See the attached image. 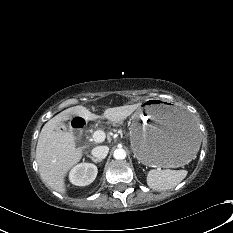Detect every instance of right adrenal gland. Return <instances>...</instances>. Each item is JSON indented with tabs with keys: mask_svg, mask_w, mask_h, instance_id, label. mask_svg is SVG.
Wrapping results in <instances>:
<instances>
[{
	"mask_svg": "<svg viewBox=\"0 0 233 233\" xmlns=\"http://www.w3.org/2000/svg\"><path fill=\"white\" fill-rule=\"evenodd\" d=\"M88 157H89L93 162H95V163H99V162L102 161V159H96V158H94V157H92V156H89V155H88Z\"/></svg>",
	"mask_w": 233,
	"mask_h": 233,
	"instance_id": "2a0ac1e0",
	"label": "right adrenal gland"
}]
</instances>
